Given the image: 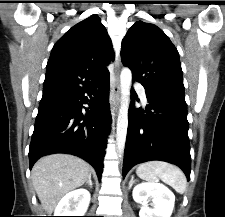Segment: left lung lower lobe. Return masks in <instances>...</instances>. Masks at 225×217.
<instances>
[{
    "label": "left lung lower lobe",
    "instance_id": "1",
    "mask_svg": "<svg viewBox=\"0 0 225 217\" xmlns=\"http://www.w3.org/2000/svg\"><path fill=\"white\" fill-rule=\"evenodd\" d=\"M131 89L123 177L136 164L162 160L179 166L190 179L191 156L185 96L146 92L149 105L134 108Z\"/></svg>",
    "mask_w": 225,
    "mask_h": 217
}]
</instances>
